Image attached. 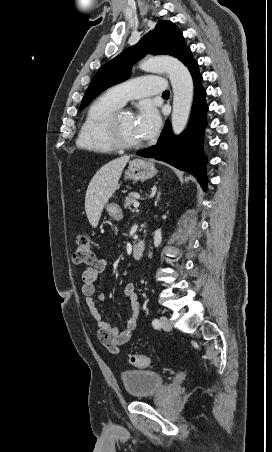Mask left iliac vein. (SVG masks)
Instances as JSON below:
<instances>
[{
  "instance_id": "obj_1",
  "label": "left iliac vein",
  "mask_w": 272,
  "mask_h": 452,
  "mask_svg": "<svg viewBox=\"0 0 272 452\" xmlns=\"http://www.w3.org/2000/svg\"><path fill=\"white\" fill-rule=\"evenodd\" d=\"M161 328L165 331H170L172 326L169 319L166 316H161Z\"/></svg>"
}]
</instances>
